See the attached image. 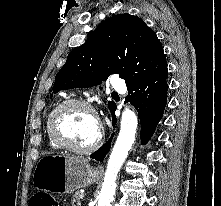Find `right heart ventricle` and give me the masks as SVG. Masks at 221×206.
<instances>
[{
  "mask_svg": "<svg viewBox=\"0 0 221 206\" xmlns=\"http://www.w3.org/2000/svg\"><path fill=\"white\" fill-rule=\"evenodd\" d=\"M49 118V117H48ZM46 133H47V137H48V140H49V143L50 145L55 148V149H58L60 148L51 138L50 134H49V131H48V119L46 121Z\"/></svg>",
  "mask_w": 221,
  "mask_h": 206,
  "instance_id": "1",
  "label": "right heart ventricle"
}]
</instances>
